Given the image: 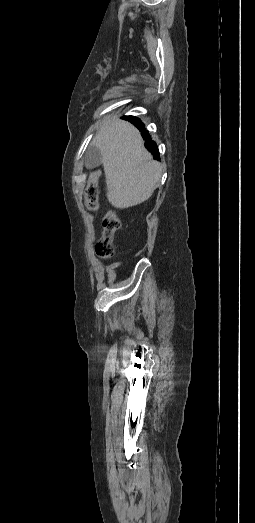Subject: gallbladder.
<instances>
[{
  "label": "gallbladder",
  "instance_id": "obj_1",
  "mask_svg": "<svg viewBox=\"0 0 255 523\" xmlns=\"http://www.w3.org/2000/svg\"><path fill=\"white\" fill-rule=\"evenodd\" d=\"M85 166L87 170H92V168H97L102 162L101 150L97 146H89L85 152Z\"/></svg>",
  "mask_w": 255,
  "mask_h": 523
}]
</instances>
